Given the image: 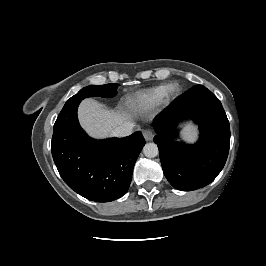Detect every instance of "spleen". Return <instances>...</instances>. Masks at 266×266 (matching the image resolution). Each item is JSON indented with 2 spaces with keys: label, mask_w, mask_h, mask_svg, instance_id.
I'll return each instance as SVG.
<instances>
[{
  "label": "spleen",
  "mask_w": 266,
  "mask_h": 266,
  "mask_svg": "<svg viewBox=\"0 0 266 266\" xmlns=\"http://www.w3.org/2000/svg\"><path fill=\"white\" fill-rule=\"evenodd\" d=\"M182 139L187 143H194L197 140L196 127L189 126L181 135Z\"/></svg>",
  "instance_id": "spleen-1"
}]
</instances>
